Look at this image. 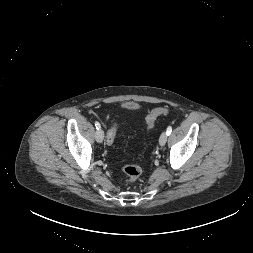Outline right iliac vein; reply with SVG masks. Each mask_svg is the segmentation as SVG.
<instances>
[{
	"label": "right iliac vein",
	"mask_w": 253,
	"mask_h": 253,
	"mask_svg": "<svg viewBox=\"0 0 253 253\" xmlns=\"http://www.w3.org/2000/svg\"><path fill=\"white\" fill-rule=\"evenodd\" d=\"M95 139L98 143H102L104 139V132L101 128L96 132Z\"/></svg>",
	"instance_id": "63e3f726"
}]
</instances>
